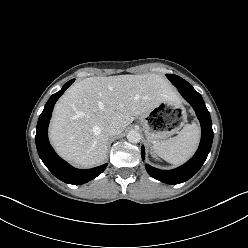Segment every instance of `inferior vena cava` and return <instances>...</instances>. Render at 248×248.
I'll use <instances>...</instances> for the list:
<instances>
[{
  "mask_svg": "<svg viewBox=\"0 0 248 248\" xmlns=\"http://www.w3.org/2000/svg\"><path fill=\"white\" fill-rule=\"evenodd\" d=\"M105 131L109 136L118 135L122 132L121 127L116 122H110L106 125Z\"/></svg>",
  "mask_w": 248,
  "mask_h": 248,
  "instance_id": "obj_1",
  "label": "inferior vena cava"
}]
</instances>
